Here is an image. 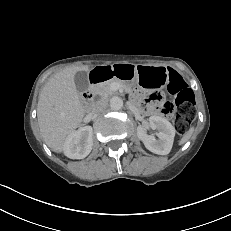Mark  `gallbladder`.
Wrapping results in <instances>:
<instances>
[{"instance_id":"gallbladder-1","label":"gallbladder","mask_w":231,"mask_h":231,"mask_svg":"<svg viewBox=\"0 0 231 231\" xmlns=\"http://www.w3.org/2000/svg\"><path fill=\"white\" fill-rule=\"evenodd\" d=\"M75 85L78 91H84L88 88V78L84 71H78L74 77Z\"/></svg>"}]
</instances>
